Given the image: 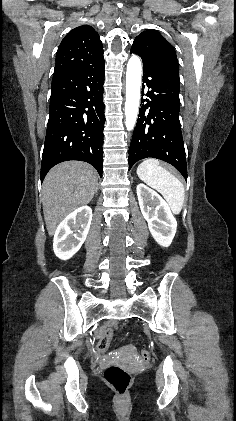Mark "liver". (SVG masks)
<instances>
[{
	"mask_svg": "<svg viewBox=\"0 0 236 421\" xmlns=\"http://www.w3.org/2000/svg\"><path fill=\"white\" fill-rule=\"evenodd\" d=\"M97 184V172L88 162L66 160L49 170L43 180L41 196L50 237L67 215L92 200Z\"/></svg>",
	"mask_w": 236,
	"mask_h": 421,
	"instance_id": "1",
	"label": "liver"
}]
</instances>
